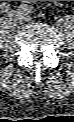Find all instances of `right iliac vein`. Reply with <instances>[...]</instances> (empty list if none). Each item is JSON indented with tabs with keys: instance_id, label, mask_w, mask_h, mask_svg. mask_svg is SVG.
I'll use <instances>...</instances> for the list:
<instances>
[{
	"instance_id": "obj_1",
	"label": "right iliac vein",
	"mask_w": 74,
	"mask_h": 122,
	"mask_svg": "<svg viewBox=\"0 0 74 122\" xmlns=\"http://www.w3.org/2000/svg\"><path fill=\"white\" fill-rule=\"evenodd\" d=\"M11 19L16 25L22 24L23 22V17L18 12H13L11 14Z\"/></svg>"
}]
</instances>
